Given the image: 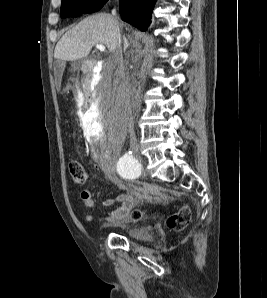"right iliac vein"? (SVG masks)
<instances>
[{
	"mask_svg": "<svg viewBox=\"0 0 267 298\" xmlns=\"http://www.w3.org/2000/svg\"><path fill=\"white\" fill-rule=\"evenodd\" d=\"M131 151L133 152V154L135 156H139V154H140V149H139V146L137 144H132L131 145Z\"/></svg>",
	"mask_w": 267,
	"mask_h": 298,
	"instance_id": "right-iliac-vein-1",
	"label": "right iliac vein"
}]
</instances>
